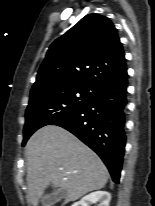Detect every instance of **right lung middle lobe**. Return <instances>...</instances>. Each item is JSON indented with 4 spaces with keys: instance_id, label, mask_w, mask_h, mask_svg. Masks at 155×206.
Here are the masks:
<instances>
[{
    "instance_id": "1",
    "label": "right lung middle lobe",
    "mask_w": 155,
    "mask_h": 206,
    "mask_svg": "<svg viewBox=\"0 0 155 206\" xmlns=\"http://www.w3.org/2000/svg\"><path fill=\"white\" fill-rule=\"evenodd\" d=\"M98 90L84 85L64 86L30 95L23 130L25 146L39 128L55 124L74 114L96 95Z\"/></svg>"
}]
</instances>
